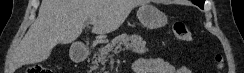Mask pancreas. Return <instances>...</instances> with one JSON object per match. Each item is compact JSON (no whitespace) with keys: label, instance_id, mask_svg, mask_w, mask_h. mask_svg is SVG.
<instances>
[{"label":"pancreas","instance_id":"pancreas-1","mask_svg":"<svg viewBox=\"0 0 244 73\" xmlns=\"http://www.w3.org/2000/svg\"><path fill=\"white\" fill-rule=\"evenodd\" d=\"M122 50H130L133 53L145 54L148 52L145 41L138 35H126L122 34L115 37L111 43H108L105 47L99 49L97 53L94 54V59L96 65L100 63L105 65V63L110 58V53H119Z\"/></svg>","mask_w":244,"mask_h":73}]
</instances>
